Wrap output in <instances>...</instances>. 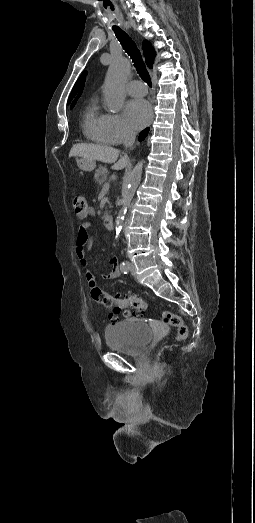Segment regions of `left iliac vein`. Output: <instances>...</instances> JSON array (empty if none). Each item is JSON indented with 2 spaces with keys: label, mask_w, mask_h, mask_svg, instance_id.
Segmentation results:
<instances>
[{
  "label": "left iliac vein",
  "mask_w": 255,
  "mask_h": 523,
  "mask_svg": "<svg viewBox=\"0 0 255 523\" xmlns=\"http://www.w3.org/2000/svg\"><path fill=\"white\" fill-rule=\"evenodd\" d=\"M128 266H129L130 273H131L133 276H136V268H135V265H134L132 262H128Z\"/></svg>",
  "instance_id": "4c4485c4"
}]
</instances>
